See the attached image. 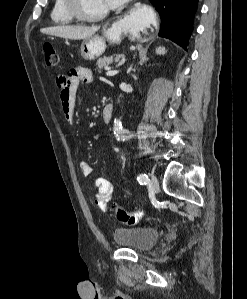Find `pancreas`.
<instances>
[{
	"label": "pancreas",
	"instance_id": "1",
	"mask_svg": "<svg viewBox=\"0 0 247 299\" xmlns=\"http://www.w3.org/2000/svg\"><path fill=\"white\" fill-rule=\"evenodd\" d=\"M123 58V55H116L114 56H110V57H103V58H99L96 62V67L98 72H101L103 68L108 67L110 64L113 63V61L118 62L120 61V59Z\"/></svg>",
	"mask_w": 247,
	"mask_h": 299
}]
</instances>
